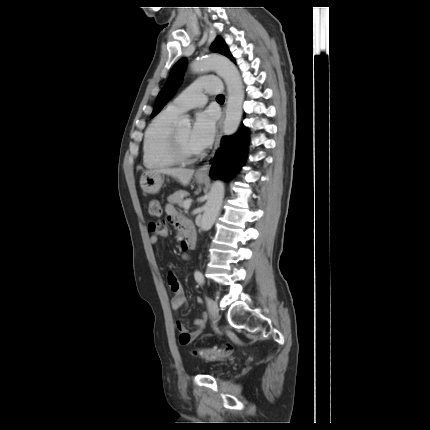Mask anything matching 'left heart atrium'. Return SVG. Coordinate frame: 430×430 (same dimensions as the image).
Listing matches in <instances>:
<instances>
[{
    "instance_id": "39dd6f15",
    "label": "left heart atrium",
    "mask_w": 430,
    "mask_h": 430,
    "mask_svg": "<svg viewBox=\"0 0 430 430\" xmlns=\"http://www.w3.org/2000/svg\"><path fill=\"white\" fill-rule=\"evenodd\" d=\"M215 134V118L210 111H204L197 115L191 130L190 142L192 147L199 151L208 148Z\"/></svg>"
}]
</instances>
